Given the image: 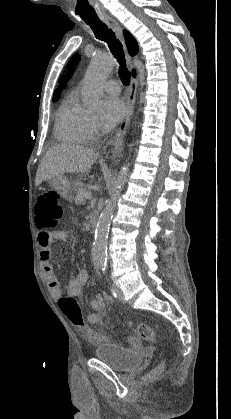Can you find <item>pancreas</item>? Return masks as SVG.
<instances>
[{
  "label": "pancreas",
  "instance_id": "obj_1",
  "mask_svg": "<svg viewBox=\"0 0 231 419\" xmlns=\"http://www.w3.org/2000/svg\"><path fill=\"white\" fill-rule=\"evenodd\" d=\"M76 189V197H75V203L77 205H82L85 202V196L84 194L88 192L87 187L83 185L81 182H76L75 184Z\"/></svg>",
  "mask_w": 231,
  "mask_h": 419
}]
</instances>
